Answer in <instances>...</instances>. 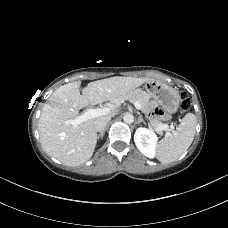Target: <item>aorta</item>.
I'll use <instances>...</instances> for the list:
<instances>
[{"instance_id": "obj_1", "label": "aorta", "mask_w": 228, "mask_h": 228, "mask_svg": "<svg viewBox=\"0 0 228 228\" xmlns=\"http://www.w3.org/2000/svg\"><path fill=\"white\" fill-rule=\"evenodd\" d=\"M123 120H124L125 123L131 124V123H133V121H134V117H133L132 114L126 113V114L123 116Z\"/></svg>"}]
</instances>
